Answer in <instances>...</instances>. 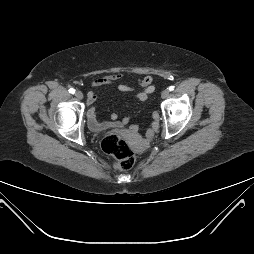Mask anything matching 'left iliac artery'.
I'll use <instances>...</instances> for the list:
<instances>
[{"mask_svg": "<svg viewBox=\"0 0 254 254\" xmlns=\"http://www.w3.org/2000/svg\"><path fill=\"white\" fill-rule=\"evenodd\" d=\"M168 89H169V91H173L174 90V86H170Z\"/></svg>", "mask_w": 254, "mask_h": 254, "instance_id": "1", "label": "left iliac artery"}]
</instances>
